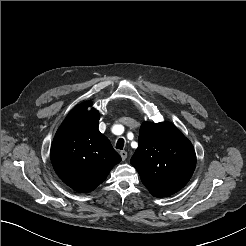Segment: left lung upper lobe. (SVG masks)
Listing matches in <instances>:
<instances>
[{
	"mask_svg": "<svg viewBox=\"0 0 246 246\" xmlns=\"http://www.w3.org/2000/svg\"><path fill=\"white\" fill-rule=\"evenodd\" d=\"M131 164L150 193L164 197L178 192L190 180L196 154L191 142L173 124L144 122Z\"/></svg>",
	"mask_w": 246,
	"mask_h": 246,
	"instance_id": "5c2ea615",
	"label": "left lung upper lobe"
}]
</instances>
